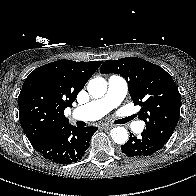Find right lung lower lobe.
I'll return each mask as SVG.
<instances>
[{
  "instance_id": "right-lung-lower-lobe-1",
  "label": "right lung lower lobe",
  "mask_w": 196,
  "mask_h": 196,
  "mask_svg": "<svg viewBox=\"0 0 196 196\" xmlns=\"http://www.w3.org/2000/svg\"><path fill=\"white\" fill-rule=\"evenodd\" d=\"M96 130L97 127L78 128L68 125L34 149L53 162L70 164L82 158Z\"/></svg>"
}]
</instances>
